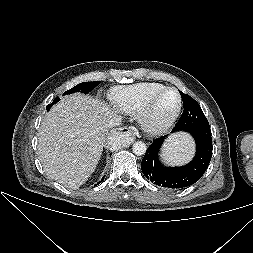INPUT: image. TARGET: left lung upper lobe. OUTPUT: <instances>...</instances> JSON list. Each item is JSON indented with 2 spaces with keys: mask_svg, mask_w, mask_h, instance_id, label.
Here are the masks:
<instances>
[{
  "mask_svg": "<svg viewBox=\"0 0 253 253\" xmlns=\"http://www.w3.org/2000/svg\"><path fill=\"white\" fill-rule=\"evenodd\" d=\"M183 100V114L176 124V129L179 131H187L191 133L205 132L204 134L211 136L209 123L199 106V104L189 95L180 92Z\"/></svg>",
  "mask_w": 253,
  "mask_h": 253,
  "instance_id": "1",
  "label": "left lung upper lobe"
}]
</instances>
